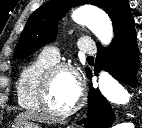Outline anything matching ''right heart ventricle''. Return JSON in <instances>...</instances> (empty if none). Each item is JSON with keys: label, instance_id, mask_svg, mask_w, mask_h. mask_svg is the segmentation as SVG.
<instances>
[{"label": "right heart ventricle", "instance_id": "obj_1", "mask_svg": "<svg viewBox=\"0 0 142 128\" xmlns=\"http://www.w3.org/2000/svg\"><path fill=\"white\" fill-rule=\"evenodd\" d=\"M54 64L40 54L23 68L16 84L17 101L22 108L32 111L42 109L39 102L41 81L46 70Z\"/></svg>", "mask_w": 142, "mask_h": 128}]
</instances>
